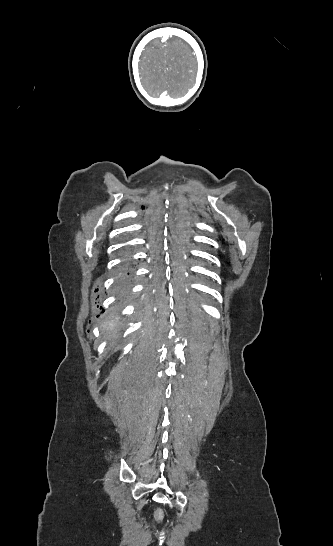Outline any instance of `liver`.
Instances as JSON below:
<instances>
[{"instance_id": "obj_1", "label": "liver", "mask_w": 333, "mask_h": 546, "mask_svg": "<svg viewBox=\"0 0 333 546\" xmlns=\"http://www.w3.org/2000/svg\"><path fill=\"white\" fill-rule=\"evenodd\" d=\"M119 324V319L118 318H115V319H112V320H108L106 321V323L103 325V329L104 330H107V331H113V332H116V328Z\"/></svg>"}]
</instances>
